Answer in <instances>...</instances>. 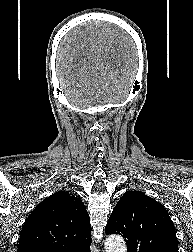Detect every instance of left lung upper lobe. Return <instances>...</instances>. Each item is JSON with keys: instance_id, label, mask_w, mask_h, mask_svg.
Returning <instances> with one entry per match:
<instances>
[{"instance_id": "5c2ea615", "label": "left lung upper lobe", "mask_w": 193, "mask_h": 252, "mask_svg": "<svg viewBox=\"0 0 193 252\" xmlns=\"http://www.w3.org/2000/svg\"><path fill=\"white\" fill-rule=\"evenodd\" d=\"M105 232L123 236L127 252H178L175 228L167 210L143 192L123 194Z\"/></svg>"}]
</instances>
